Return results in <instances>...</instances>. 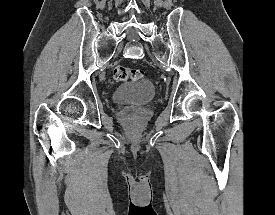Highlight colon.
I'll return each instance as SVG.
<instances>
[{
	"instance_id": "1",
	"label": "colon",
	"mask_w": 275,
	"mask_h": 215,
	"mask_svg": "<svg viewBox=\"0 0 275 215\" xmlns=\"http://www.w3.org/2000/svg\"><path fill=\"white\" fill-rule=\"evenodd\" d=\"M144 72L140 69H131L125 66H116L113 70V78L117 82L135 81L143 78Z\"/></svg>"
}]
</instances>
